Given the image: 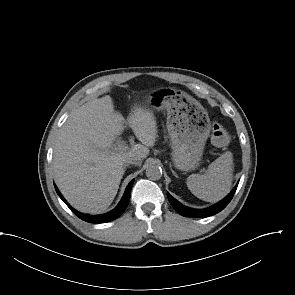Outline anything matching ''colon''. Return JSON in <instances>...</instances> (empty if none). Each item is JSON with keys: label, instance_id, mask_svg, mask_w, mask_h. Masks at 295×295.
I'll return each instance as SVG.
<instances>
[{"label": "colon", "instance_id": "5ec220e1", "mask_svg": "<svg viewBox=\"0 0 295 295\" xmlns=\"http://www.w3.org/2000/svg\"><path fill=\"white\" fill-rule=\"evenodd\" d=\"M229 134L227 130L219 123L212 126V142L218 147H223L229 142Z\"/></svg>", "mask_w": 295, "mask_h": 295}]
</instances>
